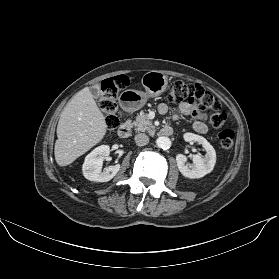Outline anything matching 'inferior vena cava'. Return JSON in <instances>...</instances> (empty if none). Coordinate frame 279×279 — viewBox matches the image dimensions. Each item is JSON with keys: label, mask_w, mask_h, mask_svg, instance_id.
Returning a JSON list of instances; mask_svg holds the SVG:
<instances>
[{"label": "inferior vena cava", "mask_w": 279, "mask_h": 279, "mask_svg": "<svg viewBox=\"0 0 279 279\" xmlns=\"http://www.w3.org/2000/svg\"><path fill=\"white\" fill-rule=\"evenodd\" d=\"M134 140L138 146H144V145L148 144L149 137L144 133H139V134L135 135Z\"/></svg>", "instance_id": "602c4592"}]
</instances>
